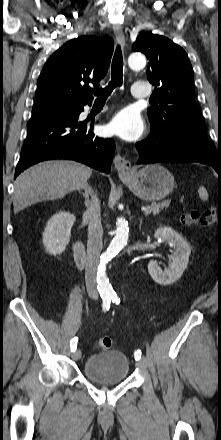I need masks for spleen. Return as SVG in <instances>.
Segmentation results:
<instances>
[{
    "mask_svg": "<svg viewBox=\"0 0 221 440\" xmlns=\"http://www.w3.org/2000/svg\"><path fill=\"white\" fill-rule=\"evenodd\" d=\"M198 193H199V198L202 201H207L208 200L209 195H208V192H207V190L205 189L204 186H200L199 187Z\"/></svg>",
    "mask_w": 221,
    "mask_h": 440,
    "instance_id": "obj_1",
    "label": "spleen"
}]
</instances>
